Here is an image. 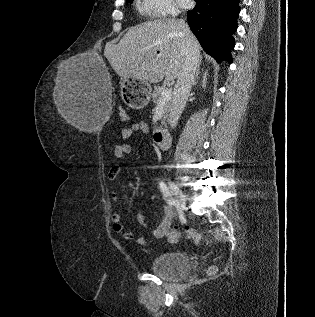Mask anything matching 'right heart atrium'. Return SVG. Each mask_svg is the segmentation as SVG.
Instances as JSON below:
<instances>
[{"label": "right heart atrium", "mask_w": 315, "mask_h": 317, "mask_svg": "<svg viewBox=\"0 0 315 317\" xmlns=\"http://www.w3.org/2000/svg\"><path fill=\"white\" fill-rule=\"evenodd\" d=\"M139 8L150 18L173 16L178 13L174 0H140Z\"/></svg>", "instance_id": "obj_1"}]
</instances>
